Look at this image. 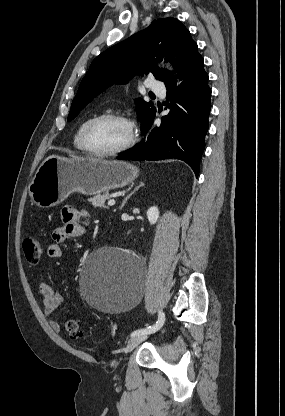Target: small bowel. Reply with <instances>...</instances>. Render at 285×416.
<instances>
[{"mask_svg":"<svg viewBox=\"0 0 285 416\" xmlns=\"http://www.w3.org/2000/svg\"><path fill=\"white\" fill-rule=\"evenodd\" d=\"M86 217H88V213L85 210L74 207H65L62 210L61 220L63 224L55 228L51 234L53 243L47 247L46 254L48 258L56 259L62 256V249L59 244L66 239L83 236L85 229L79 221ZM38 290L44 305V316L48 320L51 329L58 333L60 324L53 318V314L62 303V295L46 282H40Z\"/></svg>","mask_w":285,"mask_h":416,"instance_id":"small-bowel-1","label":"small bowel"}]
</instances>
